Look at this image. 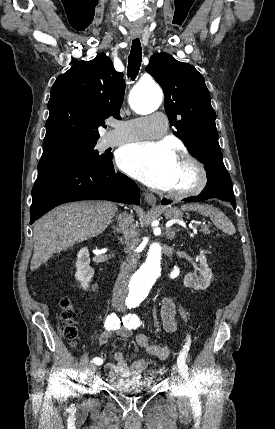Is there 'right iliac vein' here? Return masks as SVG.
<instances>
[{
  "mask_svg": "<svg viewBox=\"0 0 275 429\" xmlns=\"http://www.w3.org/2000/svg\"><path fill=\"white\" fill-rule=\"evenodd\" d=\"M96 369H97V366L95 364L92 363L89 365V372L91 374L95 373Z\"/></svg>",
  "mask_w": 275,
  "mask_h": 429,
  "instance_id": "right-iliac-vein-1",
  "label": "right iliac vein"
}]
</instances>
